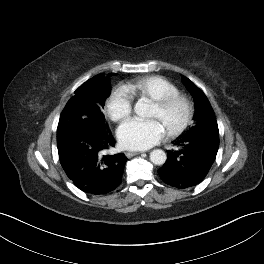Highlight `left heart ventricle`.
<instances>
[{"instance_id": "b2bd125f", "label": "left heart ventricle", "mask_w": 264, "mask_h": 264, "mask_svg": "<svg viewBox=\"0 0 264 264\" xmlns=\"http://www.w3.org/2000/svg\"><path fill=\"white\" fill-rule=\"evenodd\" d=\"M183 116V109L181 106L173 108L166 114H161L157 107L153 105L150 117L157 118L167 130L168 128L176 125Z\"/></svg>"}]
</instances>
